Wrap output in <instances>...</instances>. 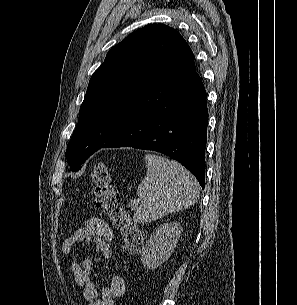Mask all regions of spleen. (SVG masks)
<instances>
[{
  "label": "spleen",
  "mask_w": 297,
  "mask_h": 305,
  "mask_svg": "<svg viewBox=\"0 0 297 305\" xmlns=\"http://www.w3.org/2000/svg\"><path fill=\"white\" fill-rule=\"evenodd\" d=\"M145 162L147 173L137 189L142 202L134 213L135 222L155 221L197 202L199 183L181 164L153 154H146Z\"/></svg>",
  "instance_id": "obj_1"
}]
</instances>
